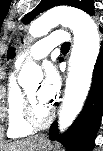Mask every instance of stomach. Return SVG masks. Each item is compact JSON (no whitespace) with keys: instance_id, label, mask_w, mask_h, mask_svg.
<instances>
[{"instance_id":"obj_1","label":"stomach","mask_w":103,"mask_h":151,"mask_svg":"<svg viewBox=\"0 0 103 151\" xmlns=\"http://www.w3.org/2000/svg\"><path fill=\"white\" fill-rule=\"evenodd\" d=\"M48 149V143L43 140L42 138H40L38 141H37V148L36 150L37 151H47Z\"/></svg>"}]
</instances>
